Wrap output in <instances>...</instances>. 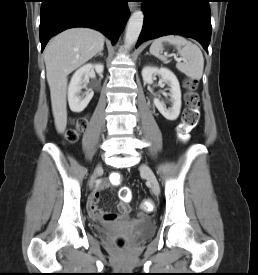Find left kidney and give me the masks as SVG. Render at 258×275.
Wrapping results in <instances>:
<instances>
[{"instance_id":"left-kidney-1","label":"left kidney","mask_w":258,"mask_h":275,"mask_svg":"<svg viewBox=\"0 0 258 275\" xmlns=\"http://www.w3.org/2000/svg\"><path fill=\"white\" fill-rule=\"evenodd\" d=\"M153 75H160L162 81L170 87L172 107L166 108L165 103L157 98L154 99V105L167 120H176L181 110V90L177 77L171 70L165 67L146 66L142 69L144 83L151 84L153 82Z\"/></svg>"}]
</instances>
